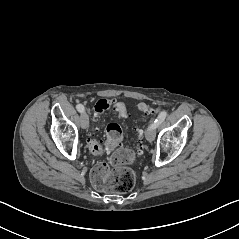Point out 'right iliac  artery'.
<instances>
[{"instance_id":"right-iliac-artery-1","label":"right iliac artery","mask_w":239,"mask_h":239,"mask_svg":"<svg viewBox=\"0 0 239 239\" xmlns=\"http://www.w3.org/2000/svg\"><path fill=\"white\" fill-rule=\"evenodd\" d=\"M76 109L80 112V113H83L85 111V108L82 104H78L76 106Z\"/></svg>"}]
</instances>
